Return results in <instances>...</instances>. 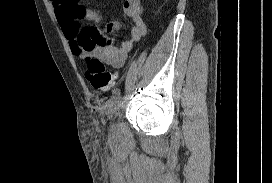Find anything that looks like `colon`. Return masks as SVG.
<instances>
[{"label":"colon","instance_id":"1","mask_svg":"<svg viewBox=\"0 0 272 183\" xmlns=\"http://www.w3.org/2000/svg\"><path fill=\"white\" fill-rule=\"evenodd\" d=\"M82 63L86 68V79L94 90L104 92L114 86L116 74L109 71L101 61L87 58Z\"/></svg>","mask_w":272,"mask_h":183}]
</instances>
